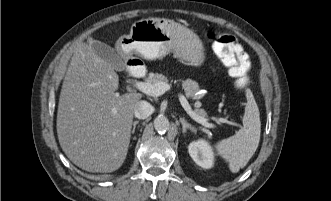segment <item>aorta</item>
<instances>
[{
  "label": "aorta",
  "instance_id": "aorta-1",
  "mask_svg": "<svg viewBox=\"0 0 331 201\" xmlns=\"http://www.w3.org/2000/svg\"><path fill=\"white\" fill-rule=\"evenodd\" d=\"M169 126V120L165 116H158L154 119V128L159 133L168 131Z\"/></svg>",
  "mask_w": 331,
  "mask_h": 201
}]
</instances>
